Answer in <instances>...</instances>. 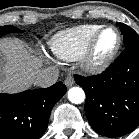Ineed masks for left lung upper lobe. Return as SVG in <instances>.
Returning a JSON list of instances; mask_svg holds the SVG:
<instances>
[{
	"mask_svg": "<svg viewBox=\"0 0 139 139\" xmlns=\"http://www.w3.org/2000/svg\"><path fill=\"white\" fill-rule=\"evenodd\" d=\"M117 24L124 36L125 47H129L132 45H139V36L131 27L123 23H117Z\"/></svg>",
	"mask_w": 139,
	"mask_h": 139,
	"instance_id": "5c2ea615",
	"label": "left lung upper lobe"
}]
</instances>
